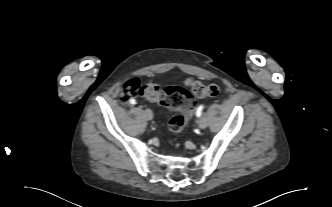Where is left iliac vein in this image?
<instances>
[{"instance_id": "4c4485c4", "label": "left iliac vein", "mask_w": 332, "mask_h": 207, "mask_svg": "<svg viewBox=\"0 0 332 207\" xmlns=\"http://www.w3.org/2000/svg\"><path fill=\"white\" fill-rule=\"evenodd\" d=\"M198 125L201 129H204L207 127L208 120H207L206 116H203L198 120Z\"/></svg>"}]
</instances>
